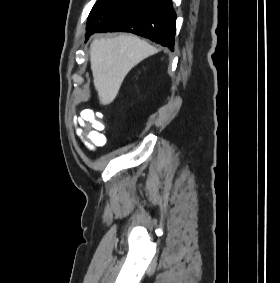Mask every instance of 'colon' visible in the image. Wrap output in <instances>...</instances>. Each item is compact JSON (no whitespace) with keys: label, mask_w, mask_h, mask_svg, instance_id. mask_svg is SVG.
Segmentation results:
<instances>
[{"label":"colon","mask_w":280,"mask_h":283,"mask_svg":"<svg viewBox=\"0 0 280 283\" xmlns=\"http://www.w3.org/2000/svg\"><path fill=\"white\" fill-rule=\"evenodd\" d=\"M87 129L80 132L81 138L91 147L96 148L105 144L103 114H95L94 110L84 111L79 117Z\"/></svg>","instance_id":"colon-1"}]
</instances>
